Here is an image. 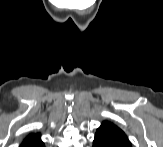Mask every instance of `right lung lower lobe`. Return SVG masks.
<instances>
[{"label":"right lung lower lobe","mask_w":163,"mask_h":147,"mask_svg":"<svg viewBox=\"0 0 163 147\" xmlns=\"http://www.w3.org/2000/svg\"><path fill=\"white\" fill-rule=\"evenodd\" d=\"M20 147H44V143L40 139V134H31L24 139Z\"/></svg>","instance_id":"right-lung-lower-lobe-1"}]
</instances>
